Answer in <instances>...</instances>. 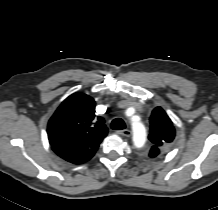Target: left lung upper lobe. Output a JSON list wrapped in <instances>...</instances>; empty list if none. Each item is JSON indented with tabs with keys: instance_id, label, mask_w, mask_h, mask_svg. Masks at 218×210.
Listing matches in <instances>:
<instances>
[{
	"instance_id": "obj_1",
	"label": "left lung upper lobe",
	"mask_w": 218,
	"mask_h": 210,
	"mask_svg": "<svg viewBox=\"0 0 218 210\" xmlns=\"http://www.w3.org/2000/svg\"><path fill=\"white\" fill-rule=\"evenodd\" d=\"M149 139L152 142L149 156L156 157L159 148L172 142L175 137V129L171 119L161 107H156L150 117Z\"/></svg>"
}]
</instances>
